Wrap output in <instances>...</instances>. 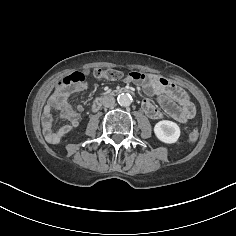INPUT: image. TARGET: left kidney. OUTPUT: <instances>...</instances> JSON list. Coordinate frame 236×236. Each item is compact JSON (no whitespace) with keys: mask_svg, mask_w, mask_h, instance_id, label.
<instances>
[{"mask_svg":"<svg viewBox=\"0 0 236 236\" xmlns=\"http://www.w3.org/2000/svg\"><path fill=\"white\" fill-rule=\"evenodd\" d=\"M154 133L160 141L172 144L178 141L181 132L179 126L175 122L162 120L154 126Z\"/></svg>","mask_w":236,"mask_h":236,"instance_id":"1","label":"left kidney"}]
</instances>
